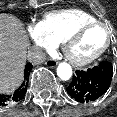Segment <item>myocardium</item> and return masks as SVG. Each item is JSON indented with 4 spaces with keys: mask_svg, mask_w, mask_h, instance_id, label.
<instances>
[{
    "mask_svg": "<svg viewBox=\"0 0 117 117\" xmlns=\"http://www.w3.org/2000/svg\"><path fill=\"white\" fill-rule=\"evenodd\" d=\"M95 26H100L106 29L107 31V40L104 44V46L99 49L97 52L86 56V57H78L75 56L72 52V45L73 43L89 28L95 27ZM112 38H113V30L112 28L107 25L104 22L101 21H91V22H87L84 23L82 25H80L79 27H77L72 33H70L67 38L64 40L63 42V51L67 57V59L75 64V65H79V66H84V65H88L90 63H92L93 61H95L96 59H98L100 56H102L107 49L110 47L111 42H112Z\"/></svg>",
    "mask_w": 117,
    "mask_h": 117,
    "instance_id": "myocardium-1",
    "label": "myocardium"
}]
</instances>
